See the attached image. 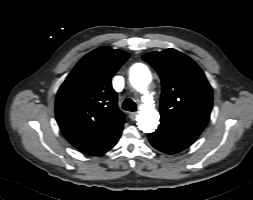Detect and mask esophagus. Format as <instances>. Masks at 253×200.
<instances>
[{"label":"esophagus","mask_w":253,"mask_h":200,"mask_svg":"<svg viewBox=\"0 0 253 200\" xmlns=\"http://www.w3.org/2000/svg\"><path fill=\"white\" fill-rule=\"evenodd\" d=\"M136 116H137V113H136V112H131V113L129 114V117H130L131 120H135V119H136Z\"/></svg>","instance_id":"esophagus-1"}]
</instances>
